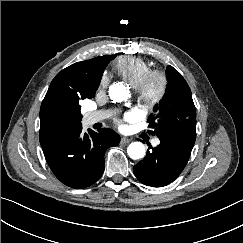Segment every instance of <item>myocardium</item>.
Returning a JSON list of instances; mask_svg holds the SVG:
<instances>
[{
    "mask_svg": "<svg viewBox=\"0 0 243 243\" xmlns=\"http://www.w3.org/2000/svg\"><path fill=\"white\" fill-rule=\"evenodd\" d=\"M168 76L160 69L150 70L135 88L139 107L148 112L156 107L168 90Z\"/></svg>",
    "mask_w": 243,
    "mask_h": 243,
    "instance_id": "f54148a6",
    "label": "myocardium"
}]
</instances>
